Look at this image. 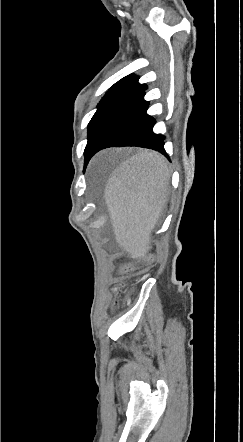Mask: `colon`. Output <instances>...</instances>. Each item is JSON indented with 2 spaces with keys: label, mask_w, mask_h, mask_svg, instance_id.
<instances>
[{
  "label": "colon",
  "mask_w": 243,
  "mask_h": 442,
  "mask_svg": "<svg viewBox=\"0 0 243 442\" xmlns=\"http://www.w3.org/2000/svg\"><path fill=\"white\" fill-rule=\"evenodd\" d=\"M157 261V256L152 254L143 255L138 259H130L128 262L119 263L118 267L113 269L116 276L120 278H131L132 275L141 274L142 270L149 271L153 269V262ZM125 284L122 279L117 280L112 286V298L121 299Z\"/></svg>",
  "instance_id": "obj_1"
}]
</instances>
